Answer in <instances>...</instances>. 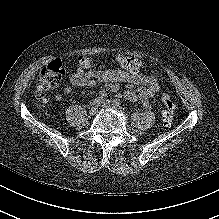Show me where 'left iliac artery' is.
Returning <instances> with one entry per match:
<instances>
[{
  "instance_id": "left-iliac-artery-1",
  "label": "left iliac artery",
  "mask_w": 219,
  "mask_h": 219,
  "mask_svg": "<svg viewBox=\"0 0 219 219\" xmlns=\"http://www.w3.org/2000/svg\"><path fill=\"white\" fill-rule=\"evenodd\" d=\"M113 104L116 105V106H119L121 104V102H120L119 99H114Z\"/></svg>"
}]
</instances>
